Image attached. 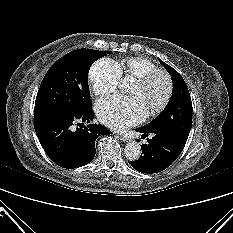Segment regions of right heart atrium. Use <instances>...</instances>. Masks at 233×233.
I'll return each instance as SVG.
<instances>
[{"label": "right heart atrium", "instance_id": "obj_1", "mask_svg": "<svg viewBox=\"0 0 233 233\" xmlns=\"http://www.w3.org/2000/svg\"><path fill=\"white\" fill-rule=\"evenodd\" d=\"M116 63L108 58L94 62L89 70V80L97 96L103 97L114 93L120 79Z\"/></svg>", "mask_w": 233, "mask_h": 233}]
</instances>
